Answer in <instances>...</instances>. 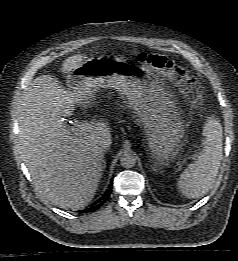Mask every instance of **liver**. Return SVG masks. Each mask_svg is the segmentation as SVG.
<instances>
[{"label": "liver", "mask_w": 238, "mask_h": 261, "mask_svg": "<svg viewBox=\"0 0 238 261\" xmlns=\"http://www.w3.org/2000/svg\"><path fill=\"white\" fill-rule=\"evenodd\" d=\"M77 54L62 64V72L79 67ZM80 97L51 75L34 79L18 109L19 147L39 195L61 208L79 209L93 199L102 176L100 143L111 144L107 123L98 121L76 135L64 118L72 115Z\"/></svg>", "instance_id": "obj_1"}]
</instances>
